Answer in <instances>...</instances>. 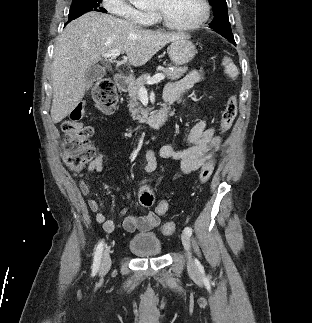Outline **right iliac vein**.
<instances>
[{
  "label": "right iliac vein",
  "instance_id": "obj_1",
  "mask_svg": "<svg viewBox=\"0 0 312 323\" xmlns=\"http://www.w3.org/2000/svg\"><path fill=\"white\" fill-rule=\"evenodd\" d=\"M110 266H111V258H110L109 249L107 248L102 257V264L100 269L101 274H105L109 270Z\"/></svg>",
  "mask_w": 312,
  "mask_h": 323
}]
</instances>
